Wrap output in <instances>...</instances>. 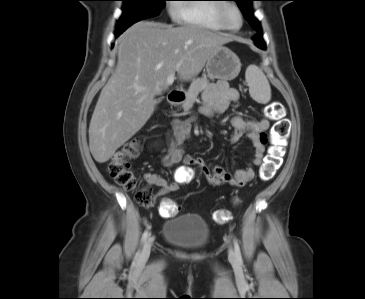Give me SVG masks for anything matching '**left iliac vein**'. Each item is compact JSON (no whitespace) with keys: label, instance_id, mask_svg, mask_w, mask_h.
I'll list each match as a JSON object with an SVG mask.
<instances>
[{"label":"left iliac vein","instance_id":"4c4485c4","mask_svg":"<svg viewBox=\"0 0 365 299\" xmlns=\"http://www.w3.org/2000/svg\"><path fill=\"white\" fill-rule=\"evenodd\" d=\"M228 257L231 263H236L237 262V255L236 252L234 251V249L232 247H229L228 250Z\"/></svg>","mask_w":365,"mask_h":299}]
</instances>
